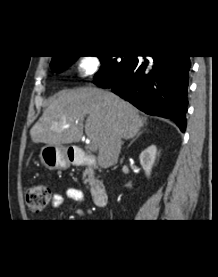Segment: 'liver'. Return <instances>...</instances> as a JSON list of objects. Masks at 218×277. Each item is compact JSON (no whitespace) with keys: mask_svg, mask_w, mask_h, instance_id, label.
Returning <instances> with one entry per match:
<instances>
[{"mask_svg":"<svg viewBox=\"0 0 218 277\" xmlns=\"http://www.w3.org/2000/svg\"><path fill=\"white\" fill-rule=\"evenodd\" d=\"M146 120L117 95L85 87L60 91L31 128L30 135L34 143L61 146L79 142L85 128L88 138L97 144L98 164L108 168L117 163L123 140L133 138Z\"/></svg>","mask_w":218,"mask_h":277,"instance_id":"liver-1","label":"liver"}]
</instances>
